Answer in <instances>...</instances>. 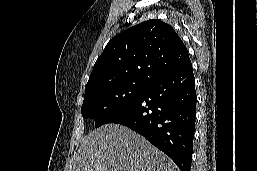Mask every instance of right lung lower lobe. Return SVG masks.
I'll use <instances>...</instances> for the list:
<instances>
[{
    "label": "right lung lower lobe",
    "mask_w": 257,
    "mask_h": 171,
    "mask_svg": "<svg viewBox=\"0 0 257 171\" xmlns=\"http://www.w3.org/2000/svg\"><path fill=\"white\" fill-rule=\"evenodd\" d=\"M196 101L190 62L150 83L105 124L119 123L131 128L167 154L181 171H190Z\"/></svg>",
    "instance_id": "right-lung-lower-lobe-1"
}]
</instances>
